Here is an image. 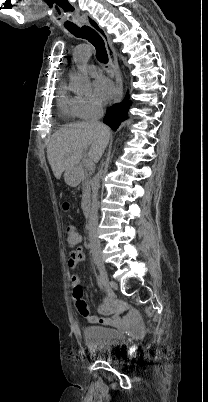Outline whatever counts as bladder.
<instances>
[{
    "label": "bladder",
    "mask_w": 208,
    "mask_h": 402,
    "mask_svg": "<svg viewBox=\"0 0 208 402\" xmlns=\"http://www.w3.org/2000/svg\"><path fill=\"white\" fill-rule=\"evenodd\" d=\"M83 337L86 347L90 353L101 354L106 359L114 357L121 351L125 336L120 335L116 330L102 325L84 326Z\"/></svg>",
    "instance_id": "1"
}]
</instances>
